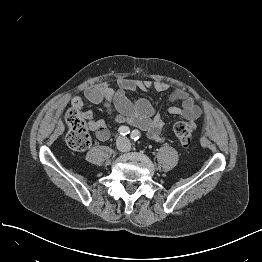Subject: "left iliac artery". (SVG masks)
Wrapping results in <instances>:
<instances>
[{
    "mask_svg": "<svg viewBox=\"0 0 262 262\" xmlns=\"http://www.w3.org/2000/svg\"><path fill=\"white\" fill-rule=\"evenodd\" d=\"M140 136H141L140 132L136 129L131 132V138L134 141H138L140 139Z\"/></svg>",
    "mask_w": 262,
    "mask_h": 262,
    "instance_id": "44dca946",
    "label": "left iliac artery"
}]
</instances>
